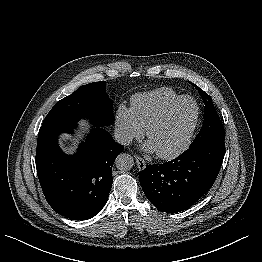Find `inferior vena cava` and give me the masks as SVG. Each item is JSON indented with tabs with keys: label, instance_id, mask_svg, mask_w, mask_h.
Returning <instances> with one entry per match:
<instances>
[{
	"label": "inferior vena cava",
	"instance_id": "602c4592",
	"mask_svg": "<svg viewBox=\"0 0 262 262\" xmlns=\"http://www.w3.org/2000/svg\"><path fill=\"white\" fill-rule=\"evenodd\" d=\"M114 139L117 143L122 144V145H129L132 143V137L123 131L120 130H115L114 132Z\"/></svg>",
	"mask_w": 262,
	"mask_h": 262
}]
</instances>
